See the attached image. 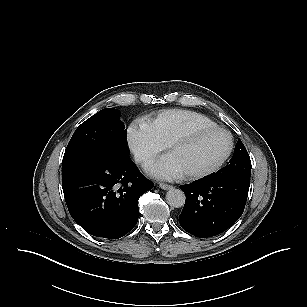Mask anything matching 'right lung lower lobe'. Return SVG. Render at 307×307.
Returning <instances> with one entry per match:
<instances>
[{
  "label": "right lung lower lobe",
  "instance_id": "1",
  "mask_svg": "<svg viewBox=\"0 0 307 307\" xmlns=\"http://www.w3.org/2000/svg\"><path fill=\"white\" fill-rule=\"evenodd\" d=\"M153 187L128 156L103 152L62 166L72 218L89 234L118 239L138 221V200Z\"/></svg>",
  "mask_w": 307,
  "mask_h": 307
}]
</instances>
